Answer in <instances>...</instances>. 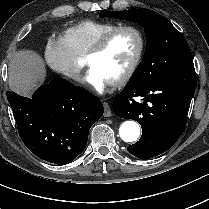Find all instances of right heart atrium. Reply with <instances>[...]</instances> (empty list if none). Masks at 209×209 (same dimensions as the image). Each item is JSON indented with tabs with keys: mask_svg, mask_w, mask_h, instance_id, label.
Wrapping results in <instances>:
<instances>
[{
	"mask_svg": "<svg viewBox=\"0 0 209 209\" xmlns=\"http://www.w3.org/2000/svg\"><path fill=\"white\" fill-rule=\"evenodd\" d=\"M44 57L53 71L75 82H81V60L64 36H50L47 39Z\"/></svg>",
	"mask_w": 209,
	"mask_h": 209,
	"instance_id": "obj_1",
	"label": "right heart atrium"
}]
</instances>
